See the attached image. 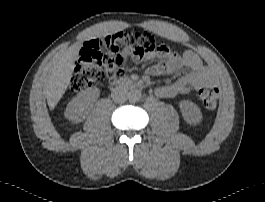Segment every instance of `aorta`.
Wrapping results in <instances>:
<instances>
[{"label": "aorta", "mask_w": 265, "mask_h": 202, "mask_svg": "<svg viewBox=\"0 0 265 202\" xmlns=\"http://www.w3.org/2000/svg\"><path fill=\"white\" fill-rule=\"evenodd\" d=\"M142 95L139 90H132L129 92V100L131 102H138L141 99Z\"/></svg>", "instance_id": "obj_1"}]
</instances>
